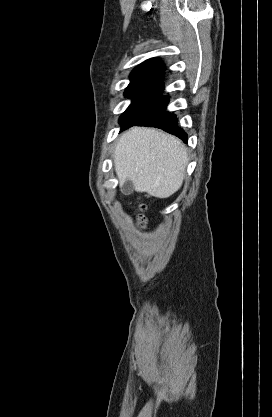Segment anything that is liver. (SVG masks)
Wrapping results in <instances>:
<instances>
[{
	"mask_svg": "<svg viewBox=\"0 0 272 417\" xmlns=\"http://www.w3.org/2000/svg\"><path fill=\"white\" fill-rule=\"evenodd\" d=\"M120 185L131 180L136 192L168 198L180 189L188 155L185 145L162 131L134 127L119 138L113 153Z\"/></svg>",
	"mask_w": 272,
	"mask_h": 417,
	"instance_id": "liver-1",
	"label": "liver"
}]
</instances>
